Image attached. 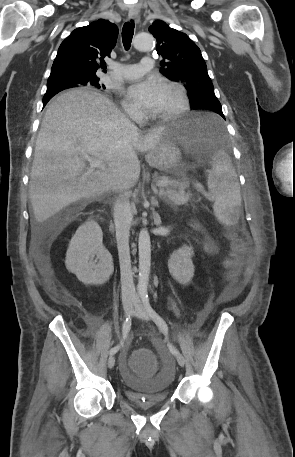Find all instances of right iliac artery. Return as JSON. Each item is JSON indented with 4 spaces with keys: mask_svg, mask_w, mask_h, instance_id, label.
Instances as JSON below:
<instances>
[{
    "mask_svg": "<svg viewBox=\"0 0 295 457\" xmlns=\"http://www.w3.org/2000/svg\"><path fill=\"white\" fill-rule=\"evenodd\" d=\"M131 315H132V312L126 317V319L123 323V327H122L123 340L127 337V334L131 328ZM121 345H123V341L120 343V345L112 348L110 350V354H115L120 349Z\"/></svg>",
    "mask_w": 295,
    "mask_h": 457,
    "instance_id": "82829eb1",
    "label": "right iliac artery"
}]
</instances>
